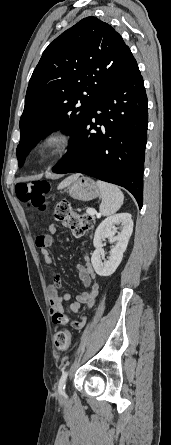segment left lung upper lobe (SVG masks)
Wrapping results in <instances>:
<instances>
[{"instance_id":"1","label":"left lung upper lobe","mask_w":171,"mask_h":445,"mask_svg":"<svg viewBox=\"0 0 171 445\" xmlns=\"http://www.w3.org/2000/svg\"><path fill=\"white\" fill-rule=\"evenodd\" d=\"M137 62L122 37L96 17L82 19L45 49L27 88L20 118L18 164L47 134L75 138L93 103Z\"/></svg>"}]
</instances>
